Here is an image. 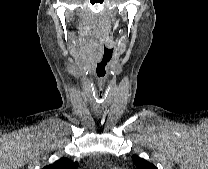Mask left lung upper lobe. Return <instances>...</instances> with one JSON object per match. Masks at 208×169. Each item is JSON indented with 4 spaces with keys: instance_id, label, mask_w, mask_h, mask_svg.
<instances>
[{
    "instance_id": "left-lung-upper-lobe-1",
    "label": "left lung upper lobe",
    "mask_w": 208,
    "mask_h": 169,
    "mask_svg": "<svg viewBox=\"0 0 208 169\" xmlns=\"http://www.w3.org/2000/svg\"><path fill=\"white\" fill-rule=\"evenodd\" d=\"M132 160L138 169H158L152 163H150V162L146 161L145 159H142L136 155H134L132 157Z\"/></svg>"
}]
</instances>
